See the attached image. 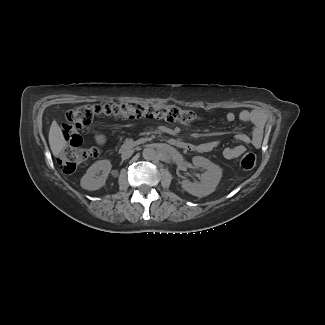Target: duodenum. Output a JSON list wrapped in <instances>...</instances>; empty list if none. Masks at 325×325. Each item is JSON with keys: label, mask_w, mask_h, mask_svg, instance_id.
Segmentation results:
<instances>
[{"label": "duodenum", "mask_w": 325, "mask_h": 325, "mask_svg": "<svg viewBox=\"0 0 325 325\" xmlns=\"http://www.w3.org/2000/svg\"><path fill=\"white\" fill-rule=\"evenodd\" d=\"M167 143L172 146V147H175V148H179V149H183V150H187L191 147V144H189L188 142L186 141H182V140H179V139H176V138H170L167 140ZM132 148V143L131 142H128V143H124L120 150L123 152V153H126L128 152L130 149Z\"/></svg>", "instance_id": "410a0bca"}]
</instances>
